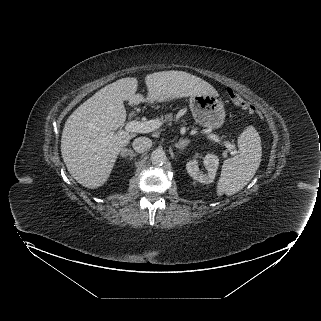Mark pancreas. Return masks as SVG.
Wrapping results in <instances>:
<instances>
[{
  "label": "pancreas",
  "mask_w": 321,
  "mask_h": 321,
  "mask_svg": "<svg viewBox=\"0 0 321 321\" xmlns=\"http://www.w3.org/2000/svg\"><path fill=\"white\" fill-rule=\"evenodd\" d=\"M172 116H173L172 114H167V115H165L164 119H163V116H162V117L160 118V120L166 123V122L172 120ZM157 120H159V119H157Z\"/></svg>",
  "instance_id": "cf45deb5"
}]
</instances>
